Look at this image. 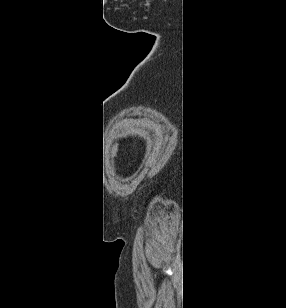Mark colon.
<instances>
[{
	"instance_id": "colon-1",
	"label": "colon",
	"mask_w": 286,
	"mask_h": 308,
	"mask_svg": "<svg viewBox=\"0 0 286 308\" xmlns=\"http://www.w3.org/2000/svg\"><path fill=\"white\" fill-rule=\"evenodd\" d=\"M117 151V147H114L113 152L116 153Z\"/></svg>"
}]
</instances>
